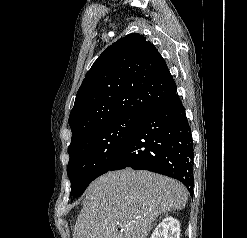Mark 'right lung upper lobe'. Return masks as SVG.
<instances>
[{
    "label": "right lung upper lobe",
    "instance_id": "right-lung-upper-lobe-1",
    "mask_svg": "<svg viewBox=\"0 0 247 238\" xmlns=\"http://www.w3.org/2000/svg\"><path fill=\"white\" fill-rule=\"evenodd\" d=\"M175 81L155 46L131 33L109 46L94 62L69 116L72 140L125 115H143L170 99Z\"/></svg>",
    "mask_w": 247,
    "mask_h": 238
}]
</instances>
